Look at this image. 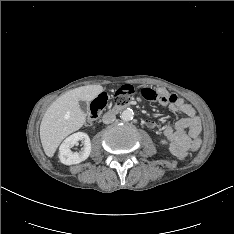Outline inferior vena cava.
<instances>
[{"label":"inferior vena cava","instance_id":"obj_1","mask_svg":"<svg viewBox=\"0 0 234 234\" xmlns=\"http://www.w3.org/2000/svg\"><path fill=\"white\" fill-rule=\"evenodd\" d=\"M115 119H116V116H115L114 113H112V112H107V113H105V114L103 115V119H102V120H103V123H105V124H110V123L114 122Z\"/></svg>","mask_w":234,"mask_h":234}]
</instances>
